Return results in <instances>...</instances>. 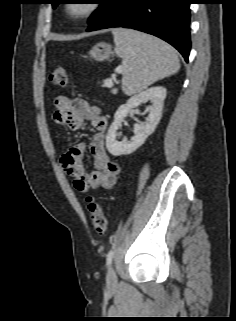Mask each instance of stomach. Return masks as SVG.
Segmentation results:
<instances>
[{
  "label": "stomach",
  "instance_id": "0dacf381",
  "mask_svg": "<svg viewBox=\"0 0 236 321\" xmlns=\"http://www.w3.org/2000/svg\"><path fill=\"white\" fill-rule=\"evenodd\" d=\"M114 52L110 44L105 42H100L92 47L90 50V56L96 61H104L110 58Z\"/></svg>",
  "mask_w": 236,
  "mask_h": 321
}]
</instances>
